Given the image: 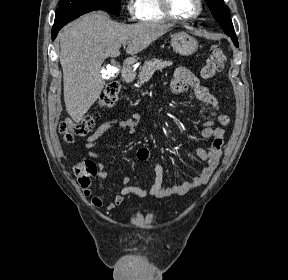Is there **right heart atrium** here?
I'll use <instances>...</instances> for the list:
<instances>
[{
  "mask_svg": "<svg viewBox=\"0 0 288 280\" xmlns=\"http://www.w3.org/2000/svg\"><path fill=\"white\" fill-rule=\"evenodd\" d=\"M124 7L129 19L135 20L138 18V0H125Z\"/></svg>",
  "mask_w": 288,
  "mask_h": 280,
  "instance_id": "right-heart-atrium-1",
  "label": "right heart atrium"
}]
</instances>
